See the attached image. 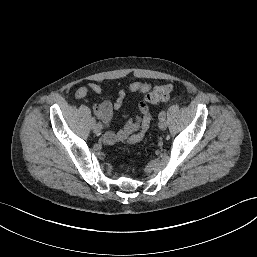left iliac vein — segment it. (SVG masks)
Returning <instances> with one entry per match:
<instances>
[{"mask_svg":"<svg viewBox=\"0 0 257 257\" xmlns=\"http://www.w3.org/2000/svg\"><path fill=\"white\" fill-rule=\"evenodd\" d=\"M159 128H160L161 130H165V129L167 128V123H166L165 119H161V120L159 121Z\"/></svg>","mask_w":257,"mask_h":257,"instance_id":"4c4485c4","label":"left iliac vein"}]
</instances>
